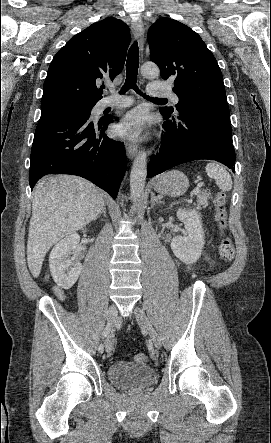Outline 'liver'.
Wrapping results in <instances>:
<instances>
[{
    "label": "liver",
    "instance_id": "1",
    "mask_svg": "<svg viewBox=\"0 0 271 443\" xmlns=\"http://www.w3.org/2000/svg\"><path fill=\"white\" fill-rule=\"evenodd\" d=\"M104 196L94 184L78 176H45L35 186L27 241V263L40 275L50 247L95 220Z\"/></svg>",
    "mask_w": 271,
    "mask_h": 443
}]
</instances>
